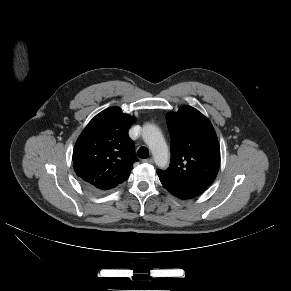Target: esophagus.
Returning a JSON list of instances; mask_svg holds the SVG:
<instances>
[{"instance_id": "obj_1", "label": "esophagus", "mask_w": 291, "mask_h": 291, "mask_svg": "<svg viewBox=\"0 0 291 291\" xmlns=\"http://www.w3.org/2000/svg\"><path fill=\"white\" fill-rule=\"evenodd\" d=\"M143 162H147V163L152 164V163H154V160H153V158H148V159H144Z\"/></svg>"}]
</instances>
